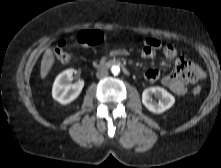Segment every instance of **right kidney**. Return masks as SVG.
Segmentation results:
<instances>
[{
  "label": "right kidney",
  "instance_id": "ca27d5eb",
  "mask_svg": "<svg viewBox=\"0 0 221 168\" xmlns=\"http://www.w3.org/2000/svg\"><path fill=\"white\" fill-rule=\"evenodd\" d=\"M74 70L67 69L60 73L52 88V96L60 104L66 105L74 101L81 93L84 82L79 80L77 83L70 84Z\"/></svg>",
  "mask_w": 221,
  "mask_h": 168
}]
</instances>
